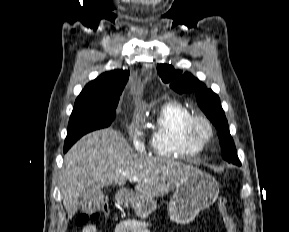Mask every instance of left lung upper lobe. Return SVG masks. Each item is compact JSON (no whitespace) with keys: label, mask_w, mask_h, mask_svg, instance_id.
<instances>
[{"label":"left lung upper lobe","mask_w":289,"mask_h":232,"mask_svg":"<svg viewBox=\"0 0 289 232\" xmlns=\"http://www.w3.org/2000/svg\"><path fill=\"white\" fill-rule=\"evenodd\" d=\"M157 72L164 83L179 94L195 93L199 107L215 125L222 149V157L229 163L241 165L231 138L225 113L219 97L190 73L181 74L172 65L159 64Z\"/></svg>","instance_id":"left-lung-upper-lobe-1"}]
</instances>
